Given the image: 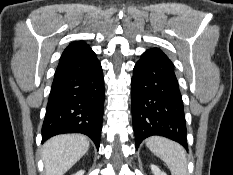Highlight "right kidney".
Returning a JSON list of instances; mask_svg holds the SVG:
<instances>
[{
	"label": "right kidney",
	"mask_w": 233,
	"mask_h": 175,
	"mask_svg": "<svg viewBox=\"0 0 233 175\" xmlns=\"http://www.w3.org/2000/svg\"><path fill=\"white\" fill-rule=\"evenodd\" d=\"M75 175H84V171H83V170H80V171H78Z\"/></svg>",
	"instance_id": "1"
}]
</instances>
